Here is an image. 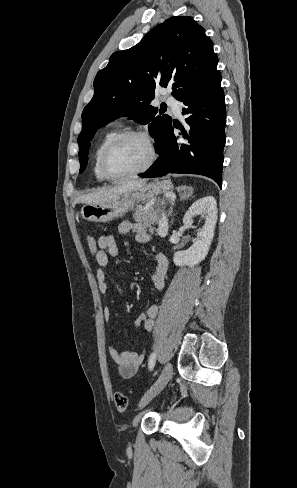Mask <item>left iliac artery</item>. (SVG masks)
Wrapping results in <instances>:
<instances>
[{"label": "left iliac artery", "instance_id": "44dca946", "mask_svg": "<svg viewBox=\"0 0 297 488\" xmlns=\"http://www.w3.org/2000/svg\"><path fill=\"white\" fill-rule=\"evenodd\" d=\"M155 362H156V353L155 352H152L149 356V360H148V368L150 370L153 369V367L155 366Z\"/></svg>", "mask_w": 297, "mask_h": 488}]
</instances>
